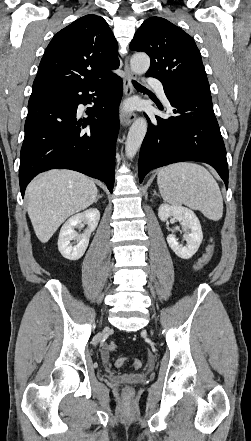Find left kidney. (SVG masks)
<instances>
[{
  "label": "left kidney",
  "instance_id": "1",
  "mask_svg": "<svg viewBox=\"0 0 251 441\" xmlns=\"http://www.w3.org/2000/svg\"><path fill=\"white\" fill-rule=\"evenodd\" d=\"M158 216L161 221H166L168 218L181 222V225L185 231L183 235L184 240L187 242L186 246H182L177 242L176 236L170 234L167 236V242L169 247L174 253L182 258L189 259L197 251L203 239V233L200 225V221L196 214L183 206H170L168 204H162L158 210Z\"/></svg>",
  "mask_w": 251,
  "mask_h": 441
}]
</instances>
